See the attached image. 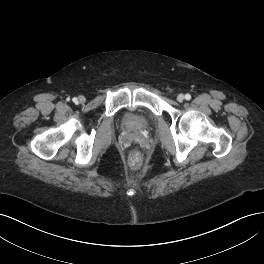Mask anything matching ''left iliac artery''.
Here are the masks:
<instances>
[{
    "mask_svg": "<svg viewBox=\"0 0 264 264\" xmlns=\"http://www.w3.org/2000/svg\"><path fill=\"white\" fill-rule=\"evenodd\" d=\"M185 99H186V100H190V99H191V95H190V94H186V95H185Z\"/></svg>",
    "mask_w": 264,
    "mask_h": 264,
    "instance_id": "left-iliac-artery-1",
    "label": "left iliac artery"
}]
</instances>
